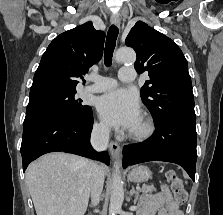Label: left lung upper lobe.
I'll return each instance as SVG.
<instances>
[{
	"label": "left lung upper lobe",
	"instance_id": "left-lung-upper-lobe-1",
	"mask_svg": "<svg viewBox=\"0 0 223 215\" xmlns=\"http://www.w3.org/2000/svg\"><path fill=\"white\" fill-rule=\"evenodd\" d=\"M125 43L137 54L136 71H148L150 80L141 88V98L154 123L196 122L188 64L177 44L142 21L131 29Z\"/></svg>",
	"mask_w": 223,
	"mask_h": 215
}]
</instances>
